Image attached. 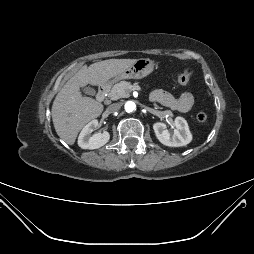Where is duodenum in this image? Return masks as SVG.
I'll return each instance as SVG.
<instances>
[{"instance_id":"410a0bca","label":"duodenum","mask_w":254,"mask_h":254,"mask_svg":"<svg viewBox=\"0 0 254 254\" xmlns=\"http://www.w3.org/2000/svg\"><path fill=\"white\" fill-rule=\"evenodd\" d=\"M107 92H108V87L106 85L99 86L97 91L98 100L103 101L106 98Z\"/></svg>"}]
</instances>
